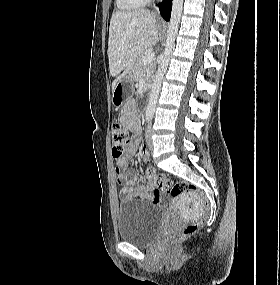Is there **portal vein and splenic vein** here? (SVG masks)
<instances>
[{"label":"portal vein and splenic vein","instance_id":"18ae733b","mask_svg":"<svg viewBox=\"0 0 280 285\" xmlns=\"http://www.w3.org/2000/svg\"><path fill=\"white\" fill-rule=\"evenodd\" d=\"M128 46L131 47V45ZM153 59H154V53H148L142 58V63L144 65L150 64L153 61Z\"/></svg>","mask_w":280,"mask_h":285}]
</instances>
